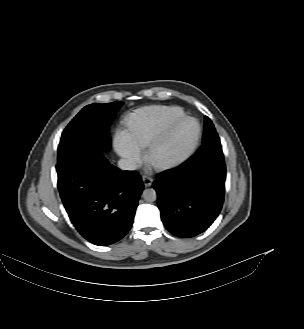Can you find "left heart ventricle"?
Segmentation results:
<instances>
[{
  "mask_svg": "<svg viewBox=\"0 0 304 329\" xmlns=\"http://www.w3.org/2000/svg\"><path fill=\"white\" fill-rule=\"evenodd\" d=\"M196 131L197 126L194 121L187 120L181 123L176 128L171 139L156 152L155 159L166 161L181 155L194 140Z\"/></svg>",
  "mask_w": 304,
  "mask_h": 329,
  "instance_id": "1",
  "label": "left heart ventricle"
}]
</instances>
